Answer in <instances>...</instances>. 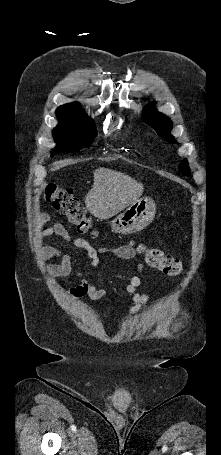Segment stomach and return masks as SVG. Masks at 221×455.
Masks as SVG:
<instances>
[{
	"label": "stomach",
	"instance_id": "0dacf381",
	"mask_svg": "<svg viewBox=\"0 0 221 455\" xmlns=\"http://www.w3.org/2000/svg\"><path fill=\"white\" fill-rule=\"evenodd\" d=\"M156 204L150 197L140 198L110 223L112 232L132 234L146 228L154 219Z\"/></svg>",
	"mask_w": 221,
	"mask_h": 455
}]
</instances>
